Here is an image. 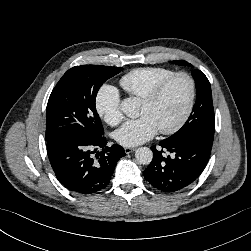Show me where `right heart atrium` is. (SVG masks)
I'll return each instance as SVG.
<instances>
[{
    "label": "right heart atrium",
    "instance_id": "right-heart-atrium-1",
    "mask_svg": "<svg viewBox=\"0 0 251 251\" xmlns=\"http://www.w3.org/2000/svg\"><path fill=\"white\" fill-rule=\"evenodd\" d=\"M98 114L110 125H117L122 120L120 112V94L110 85L103 86L95 99Z\"/></svg>",
    "mask_w": 251,
    "mask_h": 251
}]
</instances>
